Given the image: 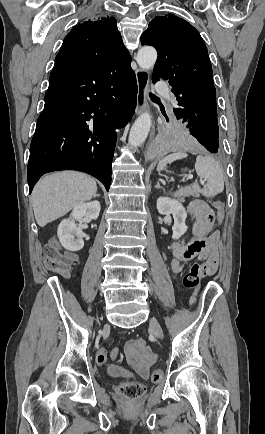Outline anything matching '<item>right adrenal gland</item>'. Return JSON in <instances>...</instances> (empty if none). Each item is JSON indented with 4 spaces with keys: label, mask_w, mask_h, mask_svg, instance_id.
Returning <instances> with one entry per match:
<instances>
[{
    "label": "right adrenal gland",
    "mask_w": 265,
    "mask_h": 434,
    "mask_svg": "<svg viewBox=\"0 0 265 434\" xmlns=\"http://www.w3.org/2000/svg\"><path fill=\"white\" fill-rule=\"evenodd\" d=\"M96 196H100V194H95L94 198H96Z\"/></svg>",
    "instance_id": "right-adrenal-gland-1"
}]
</instances>
